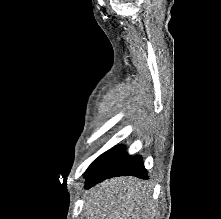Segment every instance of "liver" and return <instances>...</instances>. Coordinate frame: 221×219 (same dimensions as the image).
I'll return each mask as SVG.
<instances>
[{
	"instance_id": "1",
	"label": "liver",
	"mask_w": 221,
	"mask_h": 219,
	"mask_svg": "<svg viewBox=\"0 0 221 219\" xmlns=\"http://www.w3.org/2000/svg\"><path fill=\"white\" fill-rule=\"evenodd\" d=\"M148 182L132 176L106 180L85 194L87 219H154L156 207Z\"/></svg>"
}]
</instances>
